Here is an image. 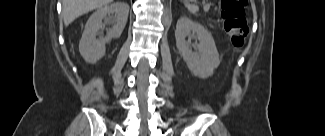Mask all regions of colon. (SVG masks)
<instances>
[{
  "mask_svg": "<svg viewBox=\"0 0 325 136\" xmlns=\"http://www.w3.org/2000/svg\"><path fill=\"white\" fill-rule=\"evenodd\" d=\"M247 3V0L221 1L223 26L235 47L243 46L249 34V27L245 19Z\"/></svg>",
  "mask_w": 325,
  "mask_h": 136,
  "instance_id": "5ec220e1",
  "label": "colon"
}]
</instances>
